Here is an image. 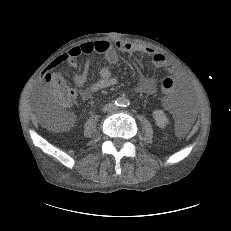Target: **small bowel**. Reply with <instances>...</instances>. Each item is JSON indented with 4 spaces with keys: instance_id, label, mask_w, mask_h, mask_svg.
<instances>
[{
    "instance_id": "1",
    "label": "small bowel",
    "mask_w": 231,
    "mask_h": 231,
    "mask_svg": "<svg viewBox=\"0 0 231 231\" xmlns=\"http://www.w3.org/2000/svg\"><path fill=\"white\" fill-rule=\"evenodd\" d=\"M118 52H123L129 55H133L136 53L147 54L151 57V61L156 67L166 69L169 73H171L174 76L176 82H181L184 80L183 72L179 70L175 64L170 62L164 54L159 53L152 48H141V47L134 46L128 42L118 41L113 44L105 40L87 42L71 48L67 53L59 56L54 61H52L49 64L46 73H50L53 69H55L61 64H66L69 67H76L77 66L76 59L81 55L101 54L104 56L105 60L109 64H114L118 60ZM89 68H90V61H87L82 71H80L74 76L73 81L77 87H82L83 84L85 83ZM99 74H100V78L95 83H93L90 88L81 91L80 96L82 99H88L94 93L113 87L118 84L117 78L113 76L112 71L109 67L107 66L102 67L100 69ZM153 87H154L153 83L149 82L146 84L144 90L145 92H152ZM172 92L169 93L164 92L165 97L163 99V104L167 108H171V102L173 100V97L171 95Z\"/></svg>"
}]
</instances>
